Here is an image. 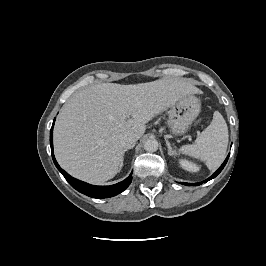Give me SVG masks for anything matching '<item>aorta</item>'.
<instances>
[{"label": "aorta", "mask_w": 266, "mask_h": 266, "mask_svg": "<svg viewBox=\"0 0 266 266\" xmlns=\"http://www.w3.org/2000/svg\"><path fill=\"white\" fill-rule=\"evenodd\" d=\"M144 149L147 152H155L158 149V141L156 139H147L144 143Z\"/></svg>", "instance_id": "1"}]
</instances>
